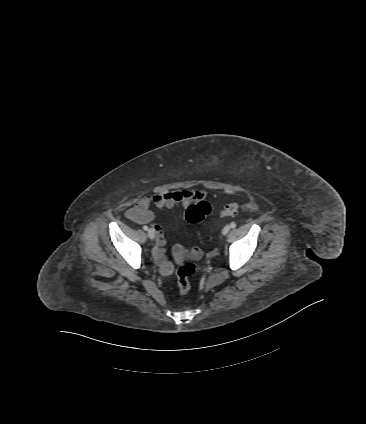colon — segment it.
Returning <instances> with one entry per match:
<instances>
[{"label": "colon", "mask_w": 366, "mask_h": 424, "mask_svg": "<svg viewBox=\"0 0 366 424\" xmlns=\"http://www.w3.org/2000/svg\"><path fill=\"white\" fill-rule=\"evenodd\" d=\"M239 205L237 203H230L224 207L220 212L221 217L231 216L237 213ZM211 211V206L206 201H200L196 204L190 205L186 210V219L189 223H198L202 221ZM190 255L194 258L200 256V250L193 247L190 250ZM196 271V266L187 262L179 266L177 270V287L181 295H186L191 290L189 277Z\"/></svg>", "instance_id": "colon-1"}]
</instances>
